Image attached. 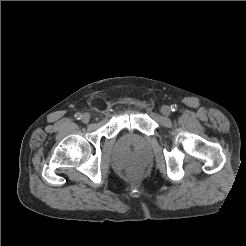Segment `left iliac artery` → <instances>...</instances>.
I'll use <instances>...</instances> for the list:
<instances>
[{
    "mask_svg": "<svg viewBox=\"0 0 246 246\" xmlns=\"http://www.w3.org/2000/svg\"><path fill=\"white\" fill-rule=\"evenodd\" d=\"M177 109H178V107H177L176 104L171 105V110H172L173 112L177 111Z\"/></svg>",
    "mask_w": 246,
    "mask_h": 246,
    "instance_id": "left-iliac-artery-1",
    "label": "left iliac artery"
}]
</instances>
